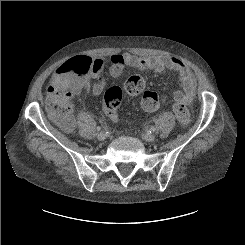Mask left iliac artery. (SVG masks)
Here are the masks:
<instances>
[{
  "instance_id": "left-iliac-artery-1",
  "label": "left iliac artery",
  "mask_w": 245,
  "mask_h": 245,
  "mask_svg": "<svg viewBox=\"0 0 245 245\" xmlns=\"http://www.w3.org/2000/svg\"><path fill=\"white\" fill-rule=\"evenodd\" d=\"M156 131V128L155 127H152L148 132H155Z\"/></svg>"
}]
</instances>
